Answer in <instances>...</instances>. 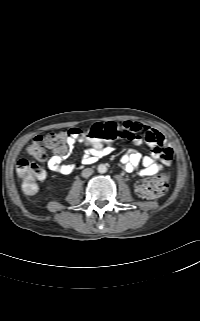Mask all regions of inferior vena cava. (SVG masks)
<instances>
[{
  "label": "inferior vena cava",
  "mask_w": 200,
  "mask_h": 321,
  "mask_svg": "<svg viewBox=\"0 0 200 321\" xmlns=\"http://www.w3.org/2000/svg\"><path fill=\"white\" fill-rule=\"evenodd\" d=\"M93 174V169L86 168L82 171V177L87 178Z\"/></svg>",
  "instance_id": "obj_1"
}]
</instances>
